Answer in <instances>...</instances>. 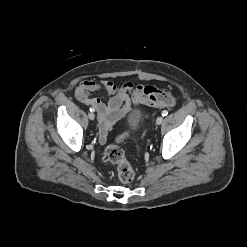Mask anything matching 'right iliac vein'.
<instances>
[{
	"instance_id": "1",
	"label": "right iliac vein",
	"mask_w": 247,
	"mask_h": 247,
	"mask_svg": "<svg viewBox=\"0 0 247 247\" xmlns=\"http://www.w3.org/2000/svg\"><path fill=\"white\" fill-rule=\"evenodd\" d=\"M88 117H89L90 120H94L95 119V115L92 112L88 114Z\"/></svg>"
}]
</instances>
